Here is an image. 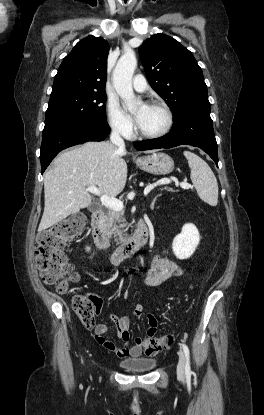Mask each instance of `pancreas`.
Instances as JSON below:
<instances>
[{"mask_svg": "<svg viewBox=\"0 0 264 415\" xmlns=\"http://www.w3.org/2000/svg\"><path fill=\"white\" fill-rule=\"evenodd\" d=\"M169 191H173L171 188H166ZM124 213L122 211L108 210L103 230L106 234L114 239L123 242L124 241V225L121 224L124 221Z\"/></svg>", "mask_w": 264, "mask_h": 415, "instance_id": "pancreas-1", "label": "pancreas"}]
</instances>
